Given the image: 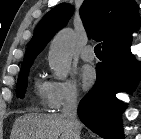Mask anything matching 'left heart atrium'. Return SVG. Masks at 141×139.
<instances>
[{
  "instance_id": "left-heart-atrium-1",
  "label": "left heart atrium",
  "mask_w": 141,
  "mask_h": 139,
  "mask_svg": "<svg viewBox=\"0 0 141 139\" xmlns=\"http://www.w3.org/2000/svg\"><path fill=\"white\" fill-rule=\"evenodd\" d=\"M79 80L84 90H88L93 86L96 80L95 70L90 66H84L79 71Z\"/></svg>"
}]
</instances>
